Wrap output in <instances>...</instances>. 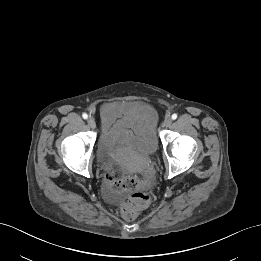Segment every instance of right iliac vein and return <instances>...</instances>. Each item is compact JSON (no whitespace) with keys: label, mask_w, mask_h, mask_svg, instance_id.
<instances>
[{"label":"right iliac vein","mask_w":261,"mask_h":261,"mask_svg":"<svg viewBox=\"0 0 261 261\" xmlns=\"http://www.w3.org/2000/svg\"><path fill=\"white\" fill-rule=\"evenodd\" d=\"M87 123L90 128L94 129L96 127V122L93 117L88 118Z\"/></svg>","instance_id":"1"}]
</instances>
